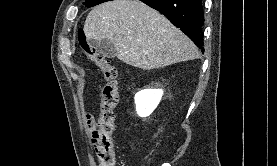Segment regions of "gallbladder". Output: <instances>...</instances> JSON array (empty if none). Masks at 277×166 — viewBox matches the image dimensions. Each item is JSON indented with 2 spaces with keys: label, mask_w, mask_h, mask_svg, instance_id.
<instances>
[{
  "label": "gallbladder",
  "mask_w": 277,
  "mask_h": 166,
  "mask_svg": "<svg viewBox=\"0 0 277 166\" xmlns=\"http://www.w3.org/2000/svg\"><path fill=\"white\" fill-rule=\"evenodd\" d=\"M88 43L91 47H96L105 57L107 58L115 57V48L111 41L107 39H103V40L89 39Z\"/></svg>",
  "instance_id": "obj_1"
}]
</instances>
